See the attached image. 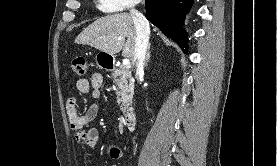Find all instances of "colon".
<instances>
[{"label":"colon","mask_w":277,"mask_h":166,"mask_svg":"<svg viewBox=\"0 0 277 166\" xmlns=\"http://www.w3.org/2000/svg\"><path fill=\"white\" fill-rule=\"evenodd\" d=\"M72 69L79 76L85 75L88 71L87 59L83 56L74 58L72 61Z\"/></svg>","instance_id":"1"}]
</instances>
